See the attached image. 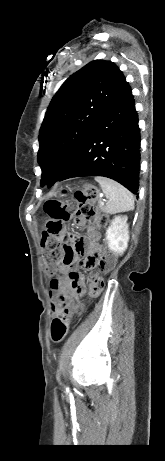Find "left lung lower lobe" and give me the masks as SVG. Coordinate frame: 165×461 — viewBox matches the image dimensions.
Returning a JSON list of instances; mask_svg holds the SVG:
<instances>
[{
  "label": "left lung lower lobe",
  "instance_id": "obj_1",
  "mask_svg": "<svg viewBox=\"0 0 165 461\" xmlns=\"http://www.w3.org/2000/svg\"><path fill=\"white\" fill-rule=\"evenodd\" d=\"M139 148L138 116L131 89L125 81L57 179L103 176L137 194Z\"/></svg>",
  "mask_w": 165,
  "mask_h": 461
}]
</instances>
